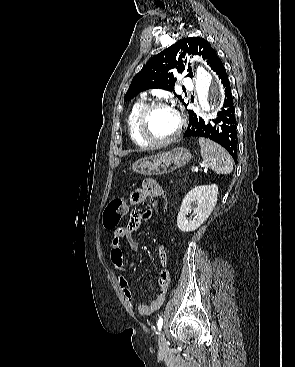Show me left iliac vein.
<instances>
[{"instance_id": "obj_1", "label": "left iliac vein", "mask_w": 295, "mask_h": 367, "mask_svg": "<svg viewBox=\"0 0 295 367\" xmlns=\"http://www.w3.org/2000/svg\"><path fill=\"white\" fill-rule=\"evenodd\" d=\"M169 348H168V344L165 338L164 333L162 332L159 335V352L161 354H166L168 352Z\"/></svg>"}]
</instances>
